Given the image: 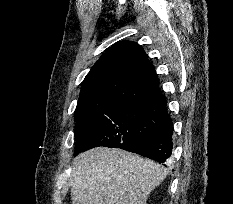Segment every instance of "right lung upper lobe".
<instances>
[{"mask_svg": "<svg viewBox=\"0 0 233 204\" xmlns=\"http://www.w3.org/2000/svg\"><path fill=\"white\" fill-rule=\"evenodd\" d=\"M75 120L108 105L161 95L154 66L135 42L122 41L109 48L85 77Z\"/></svg>", "mask_w": 233, "mask_h": 204, "instance_id": "obj_1", "label": "right lung upper lobe"}]
</instances>
